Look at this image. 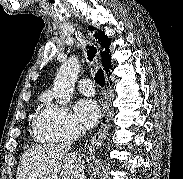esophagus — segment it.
<instances>
[{"instance_id":"1","label":"esophagus","mask_w":183,"mask_h":179,"mask_svg":"<svg viewBox=\"0 0 183 179\" xmlns=\"http://www.w3.org/2000/svg\"><path fill=\"white\" fill-rule=\"evenodd\" d=\"M112 117H113L112 110L109 107H107L101 120L100 129L90 140L92 145L96 146L104 142L108 134V131L112 125Z\"/></svg>"}]
</instances>
